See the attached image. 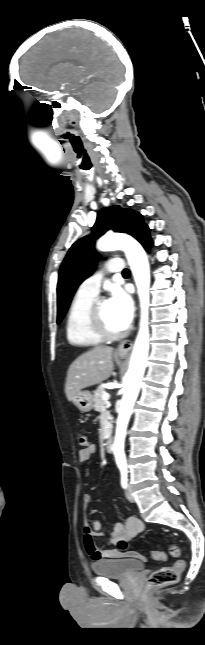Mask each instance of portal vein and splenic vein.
Listing matches in <instances>:
<instances>
[{"label": "portal vein and splenic vein", "mask_w": 205, "mask_h": 645, "mask_svg": "<svg viewBox=\"0 0 205 645\" xmlns=\"http://www.w3.org/2000/svg\"><path fill=\"white\" fill-rule=\"evenodd\" d=\"M109 398H110V396H109V394H108V393H106V392L102 395V399H103L104 401L109 400Z\"/></svg>", "instance_id": "portal-vein-and-splenic-vein-1"}]
</instances>
